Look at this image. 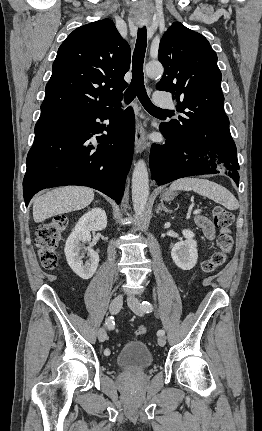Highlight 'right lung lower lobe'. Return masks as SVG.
I'll return each mask as SVG.
<instances>
[{
  "label": "right lung lower lobe",
  "instance_id": "right-lung-lower-lobe-1",
  "mask_svg": "<svg viewBox=\"0 0 262 431\" xmlns=\"http://www.w3.org/2000/svg\"><path fill=\"white\" fill-rule=\"evenodd\" d=\"M109 120L101 124L97 120ZM106 131L107 135L94 137ZM135 134L131 107L98 113L41 115L27 156L23 181L25 205L38 191L81 185L121 202L130 169Z\"/></svg>",
  "mask_w": 262,
  "mask_h": 431
}]
</instances>
